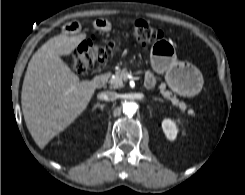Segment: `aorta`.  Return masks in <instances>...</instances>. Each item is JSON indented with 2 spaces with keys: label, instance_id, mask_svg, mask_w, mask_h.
I'll use <instances>...</instances> for the list:
<instances>
[{
  "label": "aorta",
  "instance_id": "aorta-1",
  "mask_svg": "<svg viewBox=\"0 0 245 195\" xmlns=\"http://www.w3.org/2000/svg\"><path fill=\"white\" fill-rule=\"evenodd\" d=\"M137 104L134 102H127L123 105V113L127 116H132L136 113Z\"/></svg>",
  "mask_w": 245,
  "mask_h": 195
}]
</instances>
